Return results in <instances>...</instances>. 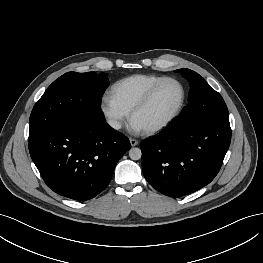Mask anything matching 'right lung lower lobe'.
I'll list each match as a JSON object with an SVG mask.
<instances>
[{
  "mask_svg": "<svg viewBox=\"0 0 263 263\" xmlns=\"http://www.w3.org/2000/svg\"><path fill=\"white\" fill-rule=\"evenodd\" d=\"M28 146L47 186L81 201L94 198L108 185L117 162L131 147L103 116L61 123L29 138Z\"/></svg>",
  "mask_w": 263,
  "mask_h": 263,
  "instance_id": "1",
  "label": "right lung lower lobe"
}]
</instances>
